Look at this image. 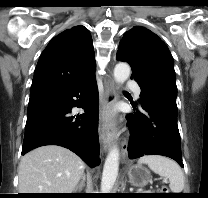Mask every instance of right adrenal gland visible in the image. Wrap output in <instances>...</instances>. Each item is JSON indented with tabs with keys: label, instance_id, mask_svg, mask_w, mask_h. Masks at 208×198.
Masks as SVG:
<instances>
[{
	"label": "right adrenal gland",
	"instance_id": "right-adrenal-gland-1",
	"mask_svg": "<svg viewBox=\"0 0 208 198\" xmlns=\"http://www.w3.org/2000/svg\"><path fill=\"white\" fill-rule=\"evenodd\" d=\"M86 175L83 173L80 183L75 187L74 193H79L85 186Z\"/></svg>",
	"mask_w": 208,
	"mask_h": 198
}]
</instances>
